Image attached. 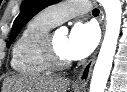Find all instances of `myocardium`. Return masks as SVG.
I'll list each match as a JSON object with an SVG mask.
<instances>
[{
    "label": "myocardium",
    "instance_id": "f54148a6",
    "mask_svg": "<svg viewBox=\"0 0 127 92\" xmlns=\"http://www.w3.org/2000/svg\"><path fill=\"white\" fill-rule=\"evenodd\" d=\"M44 56L49 65L54 69H65L71 65V60L62 56L54 43V34L49 33L44 41Z\"/></svg>",
    "mask_w": 127,
    "mask_h": 92
}]
</instances>
